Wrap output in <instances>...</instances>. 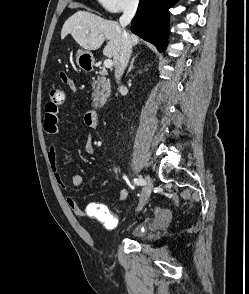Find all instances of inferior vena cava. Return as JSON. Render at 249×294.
I'll list each match as a JSON object with an SVG mask.
<instances>
[{
	"label": "inferior vena cava",
	"mask_w": 249,
	"mask_h": 294,
	"mask_svg": "<svg viewBox=\"0 0 249 294\" xmlns=\"http://www.w3.org/2000/svg\"><path fill=\"white\" fill-rule=\"evenodd\" d=\"M138 6V0H133L131 3L127 5L125 8L123 15L120 17V25L123 28V35H122V44L119 51V54L116 58L115 63V78L119 83L121 76L124 73V70L127 67L129 62L131 53H132V40L130 35L125 31V27L130 24L131 20L133 19ZM125 87L121 86L120 90H124Z\"/></svg>",
	"instance_id": "inferior-vena-cava-1"
}]
</instances>
